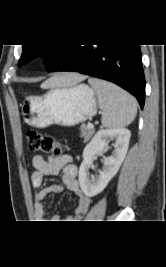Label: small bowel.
Here are the masks:
<instances>
[{
    "mask_svg": "<svg viewBox=\"0 0 166 267\" xmlns=\"http://www.w3.org/2000/svg\"><path fill=\"white\" fill-rule=\"evenodd\" d=\"M34 171L31 175L33 186L37 189L34 194V214L38 220L46 218L43 201L50 194H58L65 189L72 191L77 197V208L74 217L67 220L82 219L91 206V199L81 189L78 181V167L67 155L43 157L36 155L32 158ZM61 173V184L43 186L46 176H57ZM52 222H63L58 215L51 217Z\"/></svg>",
    "mask_w": 166,
    "mask_h": 267,
    "instance_id": "c3829d8e",
    "label": "small bowel"
}]
</instances>
